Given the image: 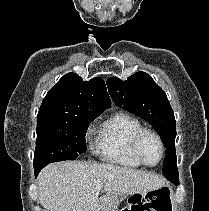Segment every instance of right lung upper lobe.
Listing matches in <instances>:
<instances>
[{
  "instance_id": "cb5924a9",
  "label": "right lung upper lobe",
  "mask_w": 209,
  "mask_h": 211,
  "mask_svg": "<svg viewBox=\"0 0 209 211\" xmlns=\"http://www.w3.org/2000/svg\"><path fill=\"white\" fill-rule=\"evenodd\" d=\"M104 81L95 77L83 81L75 73L64 75L48 91L39 109L37 120H61L97 117L110 106Z\"/></svg>"
}]
</instances>
